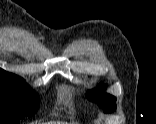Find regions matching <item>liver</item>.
<instances>
[{"label": "liver", "mask_w": 156, "mask_h": 124, "mask_svg": "<svg viewBox=\"0 0 156 124\" xmlns=\"http://www.w3.org/2000/svg\"><path fill=\"white\" fill-rule=\"evenodd\" d=\"M47 124H67L66 122H60V121H51Z\"/></svg>", "instance_id": "obj_1"}]
</instances>
